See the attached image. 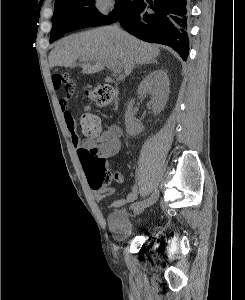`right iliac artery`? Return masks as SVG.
I'll list each match as a JSON object with an SVG mask.
<instances>
[{
    "instance_id": "right-iliac-artery-1",
    "label": "right iliac artery",
    "mask_w": 245,
    "mask_h": 300,
    "mask_svg": "<svg viewBox=\"0 0 245 300\" xmlns=\"http://www.w3.org/2000/svg\"><path fill=\"white\" fill-rule=\"evenodd\" d=\"M136 205H138V206L141 205V202L138 201V202L134 203V204L132 205V208H134Z\"/></svg>"
}]
</instances>
